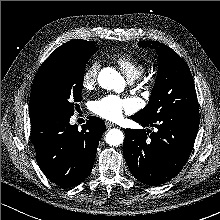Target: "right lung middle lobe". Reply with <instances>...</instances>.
<instances>
[{"mask_svg":"<svg viewBox=\"0 0 220 220\" xmlns=\"http://www.w3.org/2000/svg\"><path fill=\"white\" fill-rule=\"evenodd\" d=\"M96 46L71 48L48 61L32 89L30 101L39 114L73 115L81 91L88 59Z\"/></svg>","mask_w":220,"mask_h":220,"instance_id":"right-lung-middle-lobe-1","label":"right lung middle lobe"}]
</instances>
